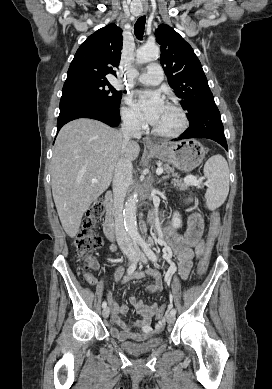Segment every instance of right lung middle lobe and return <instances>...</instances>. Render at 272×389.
Wrapping results in <instances>:
<instances>
[{"instance_id":"1","label":"right lung middle lobe","mask_w":272,"mask_h":389,"mask_svg":"<svg viewBox=\"0 0 272 389\" xmlns=\"http://www.w3.org/2000/svg\"><path fill=\"white\" fill-rule=\"evenodd\" d=\"M81 97L98 101L111 108H119L122 92L108 80H85L64 84L62 97Z\"/></svg>"}]
</instances>
